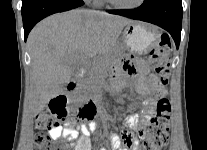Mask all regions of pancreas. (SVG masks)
<instances>
[{"label": "pancreas", "mask_w": 207, "mask_h": 150, "mask_svg": "<svg viewBox=\"0 0 207 150\" xmlns=\"http://www.w3.org/2000/svg\"><path fill=\"white\" fill-rule=\"evenodd\" d=\"M112 61V57H104L96 60L88 71L89 76L82 81L81 87L88 93H91L93 89L100 86L102 78L106 75Z\"/></svg>", "instance_id": "obj_1"}]
</instances>
